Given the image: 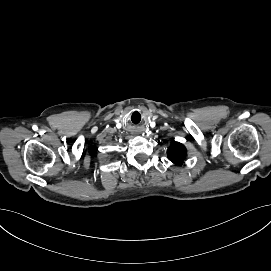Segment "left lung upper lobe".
I'll return each instance as SVG.
<instances>
[{
    "label": "left lung upper lobe",
    "instance_id": "obj_1",
    "mask_svg": "<svg viewBox=\"0 0 271 271\" xmlns=\"http://www.w3.org/2000/svg\"><path fill=\"white\" fill-rule=\"evenodd\" d=\"M168 159L177 164L185 160L187 155V150L185 146L179 142L172 141L171 145L167 150Z\"/></svg>",
    "mask_w": 271,
    "mask_h": 271
}]
</instances>
